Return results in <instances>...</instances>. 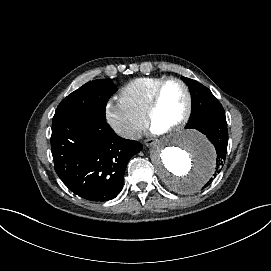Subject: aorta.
Returning a JSON list of instances; mask_svg holds the SVG:
<instances>
[{
    "label": "aorta",
    "mask_w": 271,
    "mask_h": 271,
    "mask_svg": "<svg viewBox=\"0 0 271 271\" xmlns=\"http://www.w3.org/2000/svg\"><path fill=\"white\" fill-rule=\"evenodd\" d=\"M150 155L160 179L169 189L183 195L200 191L216 168L212 144L202 133L191 129L159 140Z\"/></svg>",
    "instance_id": "762f6f07"
}]
</instances>
